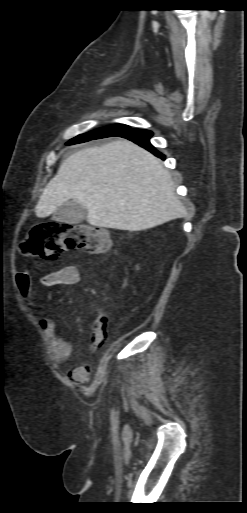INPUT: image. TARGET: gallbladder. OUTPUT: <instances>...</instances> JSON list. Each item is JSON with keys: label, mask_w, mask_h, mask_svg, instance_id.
<instances>
[{"label": "gallbladder", "mask_w": 247, "mask_h": 513, "mask_svg": "<svg viewBox=\"0 0 247 513\" xmlns=\"http://www.w3.org/2000/svg\"><path fill=\"white\" fill-rule=\"evenodd\" d=\"M87 210L75 201H67L53 214V219L69 224H79L86 219Z\"/></svg>", "instance_id": "gallbladder-1"}]
</instances>
